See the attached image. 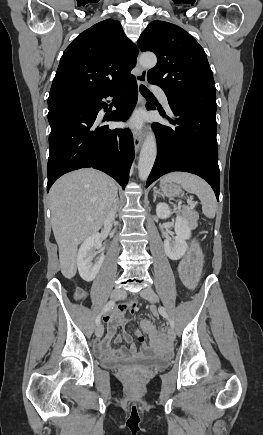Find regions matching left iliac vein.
I'll use <instances>...</instances> for the list:
<instances>
[{
  "label": "left iliac vein",
  "instance_id": "1",
  "mask_svg": "<svg viewBox=\"0 0 263 435\" xmlns=\"http://www.w3.org/2000/svg\"><path fill=\"white\" fill-rule=\"evenodd\" d=\"M140 295H141L143 298H145L146 300L150 301V302L155 303V302L158 301V296H157V294H156V293L153 291V289L150 288V287L144 288V289L140 292ZM167 335H168V339H169V341L173 342V341L175 340L176 335H175V331H174L173 328H169V329H168V333H167Z\"/></svg>",
  "mask_w": 263,
  "mask_h": 435
}]
</instances>
